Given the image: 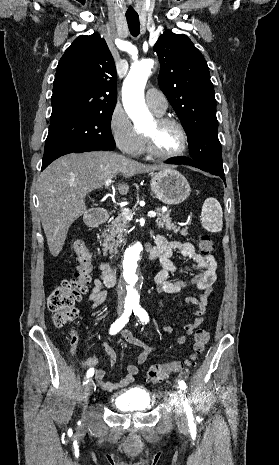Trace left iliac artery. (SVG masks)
I'll return each mask as SVG.
<instances>
[{
    "label": "left iliac artery",
    "mask_w": 279,
    "mask_h": 465,
    "mask_svg": "<svg viewBox=\"0 0 279 465\" xmlns=\"http://www.w3.org/2000/svg\"><path fill=\"white\" fill-rule=\"evenodd\" d=\"M132 308H133L134 314L137 315L142 322L147 323L149 321V317H148L147 312L139 304H134L132 306ZM179 388L185 393V391H186V383L183 380L179 381ZM184 408H185V411H186L187 418H188L189 422L193 421L192 410H191V407H190L187 399L184 402Z\"/></svg>",
    "instance_id": "obj_1"
}]
</instances>
